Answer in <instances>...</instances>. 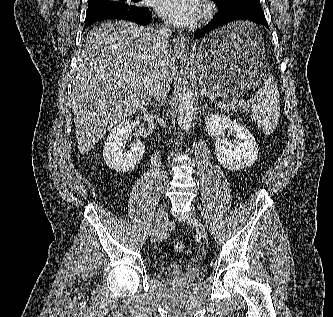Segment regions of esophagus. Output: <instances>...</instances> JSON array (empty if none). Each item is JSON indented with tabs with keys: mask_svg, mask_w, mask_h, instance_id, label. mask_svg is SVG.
I'll use <instances>...</instances> for the list:
<instances>
[{
	"mask_svg": "<svg viewBox=\"0 0 333 317\" xmlns=\"http://www.w3.org/2000/svg\"><path fill=\"white\" fill-rule=\"evenodd\" d=\"M185 37L182 34H178L173 38V44L175 53L178 57H182L185 52Z\"/></svg>",
	"mask_w": 333,
	"mask_h": 317,
	"instance_id": "obj_1",
	"label": "esophagus"
}]
</instances>
